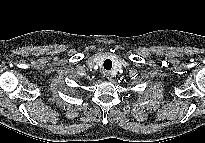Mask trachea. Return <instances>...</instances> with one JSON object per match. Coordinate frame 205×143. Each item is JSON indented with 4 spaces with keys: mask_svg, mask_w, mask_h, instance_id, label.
Here are the masks:
<instances>
[{
    "mask_svg": "<svg viewBox=\"0 0 205 143\" xmlns=\"http://www.w3.org/2000/svg\"><path fill=\"white\" fill-rule=\"evenodd\" d=\"M103 66H104V68H105L106 70H110V69L112 68V61L109 60V59H106V60L104 61Z\"/></svg>",
    "mask_w": 205,
    "mask_h": 143,
    "instance_id": "trachea-1",
    "label": "trachea"
}]
</instances>
